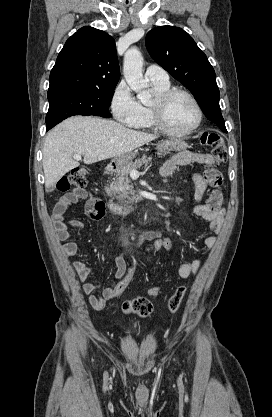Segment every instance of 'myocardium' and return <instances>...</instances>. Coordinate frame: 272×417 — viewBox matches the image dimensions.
<instances>
[{"instance_id":"myocardium-1","label":"myocardium","mask_w":272,"mask_h":417,"mask_svg":"<svg viewBox=\"0 0 272 417\" xmlns=\"http://www.w3.org/2000/svg\"><path fill=\"white\" fill-rule=\"evenodd\" d=\"M187 97L195 107L197 118L195 124L187 131L177 132L170 129L164 121V112L169 102L176 96ZM151 119L156 129L172 137H186L193 134L201 125L203 119L202 108L196 97L189 91L181 88H169L159 93L150 106Z\"/></svg>"}]
</instances>
